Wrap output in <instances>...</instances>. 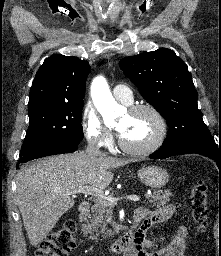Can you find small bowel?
Returning <instances> with one entry per match:
<instances>
[{
	"mask_svg": "<svg viewBox=\"0 0 221 256\" xmlns=\"http://www.w3.org/2000/svg\"><path fill=\"white\" fill-rule=\"evenodd\" d=\"M174 213L175 207L172 204L158 209H137L135 211L139 221L137 237L125 251V256H186V229L183 226L178 228L167 247L158 250H151L156 243L146 238V233L152 226L167 221Z\"/></svg>",
	"mask_w": 221,
	"mask_h": 256,
	"instance_id": "small-bowel-1",
	"label": "small bowel"
}]
</instances>
